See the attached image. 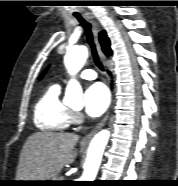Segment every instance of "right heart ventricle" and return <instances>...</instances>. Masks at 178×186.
<instances>
[{
    "label": "right heart ventricle",
    "instance_id": "right-heart-ventricle-1",
    "mask_svg": "<svg viewBox=\"0 0 178 186\" xmlns=\"http://www.w3.org/2000/svg\"><path fill=\"white\" fill-rule=\"evenodd\" d=\"M58 85L49 87L38 99L34 108V123L45 132H60L72 122V112L60 97Z\"/></svg>",
    "mask_w": 178,
    "mask_h": 186
}]
</instances>
